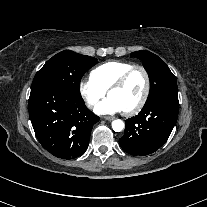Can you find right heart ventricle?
<instances>
[{
  "instance_id": "1",
  "label": "right heart ventricle",
  "mask_w": 207,
  "mask_h": 207,
  "mask_svg": "<svg viewBox=\"0 0 207 207\" xmlns=\"http://www.w3.org/2000/svg\"><path fill=\"white\" fill-rule=\"evenodd\" d=\"M132 63L119 60H111L94 68L91 77L106 90L128 69Z\"/></svg>"
}]
</instances>
